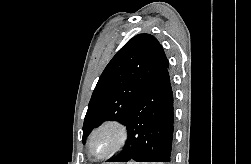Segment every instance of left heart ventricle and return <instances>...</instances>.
Returning <instances> with one entry per match:
<instances>
[{"mask_svg":"<svg viewBox=\"0 0 251 164\" xmlns=\"http://www.w3.org/2000/svg\"><path fill=\"white\" fill-rule=\"evenodd\" d=\"M111 139L108 134L99 137L94 143V151L98 154L103 153L110 146Z\"/></svg>","mask_w":251,"mask_h":164,"instance_id":"obj_1","label":"left heart ventricle"}]
</instances>
